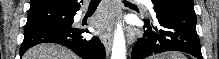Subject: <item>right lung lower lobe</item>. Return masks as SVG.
<instances>
[{
	"label": "right lung lower lobe",
	"mask_w": 219,
	"mask_h": 59,
	"mask_svg": "<svg viewBox=\"0 0 219 59\" xmlns=\"http://www.w3.org/2000/svg\"><path fill=\"white\" fill-rule=\"evenodd\" d=\"M80 5L70 11V17L63 25L45 27L24 33V41L20 48V56L30 47L40 43H57L63 45L83 59H105V48L98 37L88 39L82 34L88 32L72 26L73 17Z\"/></svg>",
	"instance_id": "obj_1"
}]
</instances>
